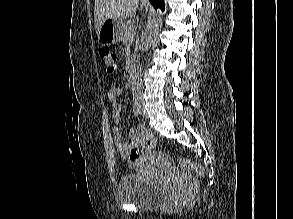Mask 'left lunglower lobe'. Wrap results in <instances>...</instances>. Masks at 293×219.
Masks as SVG:
<instances>
[{"instance_id": "0a47b994", "label": "left lung lower lobe", "mask_w": 293, "mask_h": 219, "mask_svg": "<svg viewBox=\"0 0 293 219\" xmlns=\"http://www.w3.org/2000/svg\"><path fill=\"white\" fill-rule=\"evenodd\" d=\"M150 2L155 8H160L161 10H164L163 0H150Z\"/></svg>"}]
</instances>
